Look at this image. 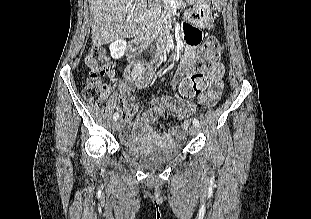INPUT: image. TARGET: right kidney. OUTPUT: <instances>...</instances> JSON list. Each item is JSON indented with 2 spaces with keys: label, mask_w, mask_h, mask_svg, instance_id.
I'll list each match as a JSON object with an SVG mask.
<instances>
[{
  "label": "right kidney",
  "mask_w": 311,
  "mask_h": 219,
  "mask_svg": "<svg viewBox=\"0 0 311 219\" xmlns=\"http://www.w3.org/2000/svg\"><path fill=\"white\" fill-rule=\"evenodd\" d=\"M127 48V42L123 39H118L110 45V53L113 59H120L124 56Z\"/></svg>",
  "instance_id": "right-kidney-1"
}]
</instances>
